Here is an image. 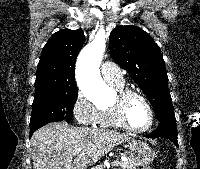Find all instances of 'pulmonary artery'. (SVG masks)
I'll return each instance as SVG.
<instances>
[{"mask_svg":"<svg viewBox=\"0 0 200 169\" xmlns=\"http://www.w3.org/2000/svg\"><path fill=\"white\" fill-rule=\"evenodd\" d=\"M101 74L108 83L124 82L121 70L116 63L106 61L101 65Z\"/></svg>","mask_w":200,"mask_h":169,"instance_id":"1","label":"pulmonary artery"}]
</instances>
